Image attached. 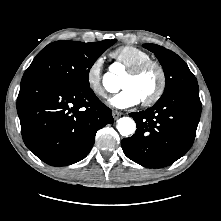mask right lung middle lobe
<instances>
[{
	"label": "right lung middle lobe",
	"mask_w": 221,
	"mask_h": 221,
	"mask_svg": "<svg viewBox=\"0 0 221 221\" xmlns=\"http://www.w3.org/2000/svg\"><path fill=\"white\" fill-rule=\"evenodd\" d=\"M115 42L113 39L93 43H50L34 58L23 78L47 77L74 85L90 86L88 75L92 65Z\"/></svg>",
	"instance_id": "1"
}]
</instances>
